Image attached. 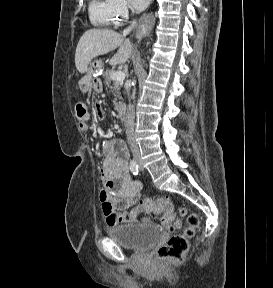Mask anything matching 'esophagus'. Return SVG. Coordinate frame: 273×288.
<instances>
[{"label":"esophagus","mask_w":273,"mask_h":288,"mask_svg":"<svg viewBox=\"0 0 273 288\" xmlns=\"http://www.w3.org/2000/svg\"><path fill=\"white\" fill-rule=\"evenodd\" d=\"M154 15L153 12H149L147 14H144L141 18H140V23L141 25V29L138 32V36L145 34L146 32H150L154 26Z\"/></svg>","instance_id":"esophagus-1"}]
</instances>
